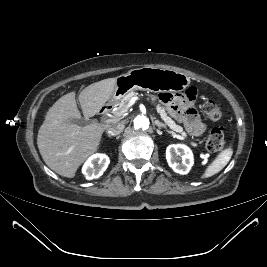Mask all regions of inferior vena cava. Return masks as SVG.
Listing matches in <instances>:
<instances>
[{
    "instance_id": "602c4592",
    "label": "inferior vena cava",
    "mask_w": 267,
    "mask_h": 267,
    "mask_svg": "<svg viewBox=\"0 0 267 267\" xmlns=\"http://www.w3.org/2000/svg\"><path fill=\"white\" fill-rule=\"evenodd\" d=\"M124 129V125L119 122H115L109 125L108 134L110 135H118Z\"/></svg>"
}]
</instances>
